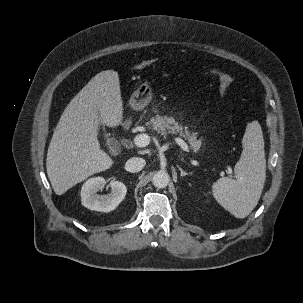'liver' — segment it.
<instances>
[{
  "label": "liver",
  "instance_id": "1",
  "mask_svg": "<svg viewBox=\"0 0 303 303\" xmlns=\"http://www.w3.org/2000/svg\"><path fill=\"white\" fill-rule=\"evenodd\" d=\"M122 117L119 75L114 70L95 75L70 101L54 130L46 159L48 178L57 195L113 165L112 158L100 149L98 127H115Z\"/></svg>",
  "mask_w": 303,
  "mask_h": 303
}]
</instances>
